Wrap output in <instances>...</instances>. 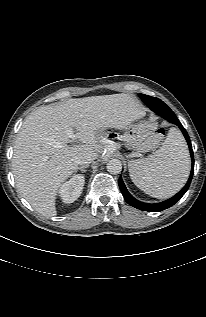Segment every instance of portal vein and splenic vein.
I'll use <instances>...</instances> for the list:
<instances>
[{
    "label": "portal vein and splenic vein",
    "instance_id": "portal-vein-and-splenic-vein-1",
    "mask_svg": "<svg viewBox=\"0 0 206 317\" xmlns=\"http://www.w3.org/2000/svg\"><path fill=\"white\" fill-rule=\"evenodd\" d=\"M67 135L71 139V141H73L76 137L72 129L67 130Z\"/></svg>",
    "mask_w": 206,
    "mask_h": 317
}]
</instances>
